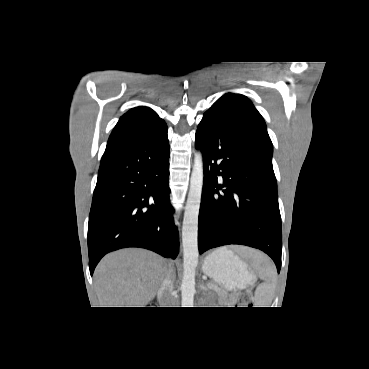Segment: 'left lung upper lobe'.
<instances>
[{"label": "left lung upper lobe", "instance_id": "5c2ea615", "mask_svg": "<svg viewBox=\"0 0 369 369\" xmlns=\"http://www.w3.org/2000/svg\"><path fill=\"white\" fill-rule=\"evenodd\" d=\"M225 121L233 129L253 138L272 155L273 146L264 119L249 99L240 94L227 93L204 114Z\"/></svg>", "mask_w": 369, "mask_h": 369}]
</instances>
